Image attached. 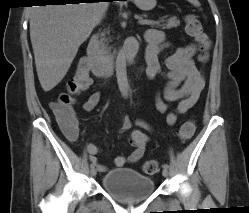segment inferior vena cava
Instances as JSON below:
<instances>
[{"label": "inferior vena cava", "instance_id": "obj_1", "mask_svg": "<svg viewBox=\"0 0 249 213\" xmlns=\"http://www.w3.org/2000/svg\"><path fill=\"white\" fill-rule=\"evenodd\" d=\"M105 11H106V10H104V11L102 12V14L100 15L99 21L103 18L104 14H105Z\"/></svg>", "mask_w": 249, "mask_h": 213}]
</instances>
